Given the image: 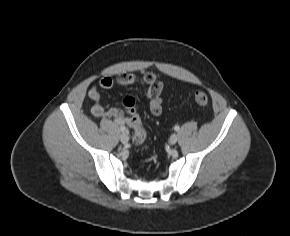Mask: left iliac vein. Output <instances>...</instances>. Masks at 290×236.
I'll use <instances>...</instances> for the list:
<instances>
[{
  "label": "left iliac vein",
  "instance_id": "1",
  "mask_svg": "<svg viewBox=\"0 0 290 236\" xmlns=\"http://www.w3.org/2000/svg\"><path fill=\"white\" fill-rule=\"evenodd\" d=\"M177 141H178V135L175 133L172 134L169 139L170 144L174 145L176 144Z\"/></svg>",
  "mask_w": 290,
  "mask_h": 236
}]
</instances>
